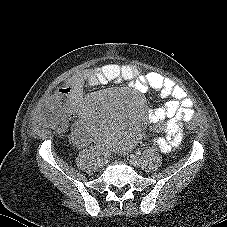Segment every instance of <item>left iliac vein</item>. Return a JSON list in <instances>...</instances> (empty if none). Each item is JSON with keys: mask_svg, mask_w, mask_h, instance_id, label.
Here are the masks:
<instances>
[{"mask_svg": "<svg viewBox=\"0 0 227 227\" xmlns=\"http://www.w3.org/2000/svg\"><path fill=\"white\" fill-rule=\"evenodd\" d=\"M129 162L135 167H138V166L141 165V159L139 157H137V156H134V155H132L130 157Z\"/></svg>", "mask_w": 227, "mask_h": 227, "instance_id": "1", "label": "left iliac vein"}]
</instances>
